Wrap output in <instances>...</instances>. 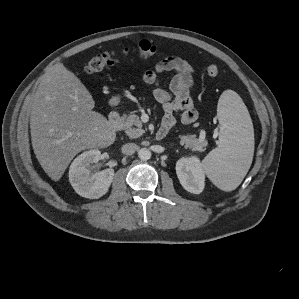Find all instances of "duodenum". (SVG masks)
Listing matches in <instances>:
<instances>
[{
    "mask_svg": "<svg viewBox=\"0 0 299 299\" xmlns=\"http://www.w3.org/2000/svg\"><path fill=\"white\" fill-rule=\"evenodd\" d=\"M120 114L113 111L108 116V124L113 130H117L120 126ZM167 131L164 128H160L156 133V138L161 140L167 135Z\"/></svg>",
    "mask_w": 299,
    "mask_h": 299,
    "instance_id": "1",
    "label": "duodenum"
}]
</instances>
